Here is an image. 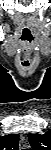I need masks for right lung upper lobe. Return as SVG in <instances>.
<instances>
[{
    "instance_id": "obj_1",
    "label": "right lung upper lobe",
    "mask_w": 51,
    "mask_h": 150,
    "mask_svg": "<svg viewBox=\"0 0 51 150\" xmlns=\"http://www.w3.org/2000/svg\"><path fill=\"white\" fill-rule=\"evenodd\" d=\"M19 135L12 134L0 137V149L1 150H18Z\"/></svg>"
}]
</instances>
